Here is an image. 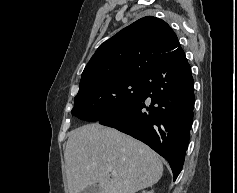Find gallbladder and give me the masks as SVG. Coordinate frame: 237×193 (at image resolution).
I'll use <instances>...</instances> for the list:
<instances>
[{"label": "gallbladder", "mask_w": 237, "mask_h": 193, "mask_svg": "<svg viewBox=\"0 0 237 193\" xmlns=\"http://www.w3.org/2000/svg\"><path fill=\"white\" fill-rule=\"evenodd\" d=\"M81 193H101V189L98 184H92L85 188Z\"/></svg>", "instance_id": "1"}]
</instances>
